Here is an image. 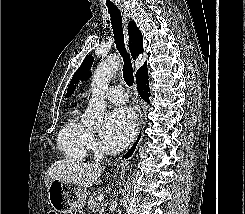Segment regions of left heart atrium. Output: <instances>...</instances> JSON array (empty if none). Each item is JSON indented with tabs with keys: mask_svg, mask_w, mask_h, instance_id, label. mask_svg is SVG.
Returning <instances> with one entry per match:
<instances>
[{
	"mask_svg": "<svg viewBox=\"0 0 245 214\" xmlns=\"http://www.w3.org/2000/svg\"><path fill=\"white\" fill-rule=\"evenodd\" d=\"M136 128L134 114L126 107L116 108L105 118L101 139L106 151L115 153L132 140Z\"/></svg>",
	"mask_w": 245,
	"mask_h": 214,
	"instance_id": "left-heart-atrium-1",
	"label": "left heart atrium"
}]
</instances>
